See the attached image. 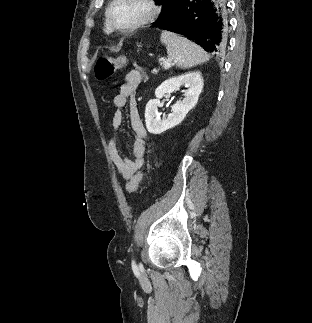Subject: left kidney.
I'll return each instance as SVG.
<instances>
[{
    "mask_svg": "<svg viewBox=\"0 0 312 323\" xmlns=\"http://www.w3.org/2000/svg\"><path fill=\"white\" fill-rule=\"evenodd\" d=\"M181 86L188 88V90L183 92V100H179L177 104L171 106L172 114H168V116L161 120L160 116H158V108L163 106V104H160L161 98H163L164 94H171V92L180 90ZM203 86L201 72H188V74H183V76L165 80L155 90L157 100H149L146 106L145 122L148 132L150 134H162V132H166V130H170V128H174V126H178L180 122H183L186 114L196 106Z\"/></svg>",
    "mask_w": 312,
    "mask_h": 323,
    "instance_id": "1",
    "label": "left kidney"
}]
</instances>
